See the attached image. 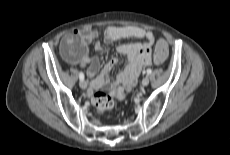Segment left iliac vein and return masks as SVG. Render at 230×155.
<instances>
[{
    "label": "left iliac vein",
    "instance_id": "4c4485c4",
    "mask_svg": "<svg viewBox=\"0 0 230 155\" xmlns=\"http://www.w3.org/2000/svg\"><path fill=\"white\" fill-rule=\"evenodd\" d=\"M141 84L142 86H147L149 84V79L147 77L143 78Z\"/></svg>",
    "mask_w": 230,
    "mask_h": 155
}]
</instances>
